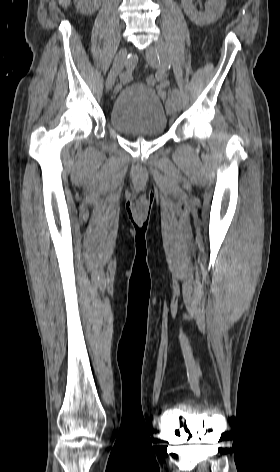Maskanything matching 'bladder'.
<instances>
[{
  "label": "bladder",
  "mask_w": 280,
  "mask_h": 472,
  "mask_svg": "<svg viewBox=\"0 0 280 472\" xmlns=\"http://www.w3.org/2000/svg\"><path fill=\"white\" fill-rule=\"evenodd\" d=\"M109 124L124 134L159 136L168 128V116L156 91L143 83L124 87L109 111Z\"/></svg>",
  "instance_id": "bladder-1"
}]
</instances>
